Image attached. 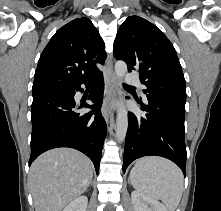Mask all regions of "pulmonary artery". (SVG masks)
<instances>
[{
	"label": "pulmonary artery",
	"instance_id": "1",
	"mask_svg": "<svg viewBox=\"0 0 221 211\" xmlns=\"http://www.w3.org/2000/svg\"><path fill=\"white\" fill-rule=\"evenodd\" d=\"M126 81L130 85H138L141 88H144V86L140 83L139 78L135 74H132V73L127 74Z\"/></svg>",
	"mask_w": 221,
	"mask_h": 211
}]
</instances>
